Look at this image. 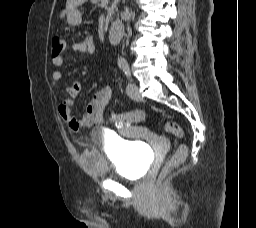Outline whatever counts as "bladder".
<instances>
[{"instance_id":"1","label":"bladder","mask_w":256,"mask_h":228,"mask_svg":"<svg viewBox=\"0 0 256 228\" xmlns=\"http://www.w3.org/2000/svg\"><path fill=\"white\" fill-rule=\"evenodd\" d=\"M93 140L102 137L99 130L92 134ZM108 138V137H104ZM110 155L89 142L82 154L84 166L98 176L117 175L138 179L145 173L148 157L145 149L134 141L108 139Z\"/></svg>"}]
</instances>
